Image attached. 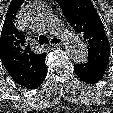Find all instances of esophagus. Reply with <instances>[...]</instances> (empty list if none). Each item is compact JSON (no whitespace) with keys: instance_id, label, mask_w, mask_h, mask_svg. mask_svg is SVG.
<instances>
[{"instance_id":"1","label":"esophagus","mask_w":113,"mask_h":113,"mask_svg":"<svg viewBox=\"0 0 113 113\" xmlns=\"http://www.w3.org/2000/svg\"><path fill=\"white\" fill-rule=\"evenodd\" d=\"M50 45L54 47L60 46L62 45V39L59 37L53 36L50 38Z\"/></svg>"}]
</instances>
